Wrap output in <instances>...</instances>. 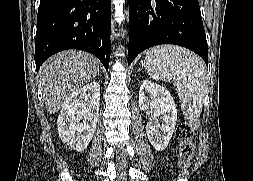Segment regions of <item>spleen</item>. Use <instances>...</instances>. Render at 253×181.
<instances>
[{
	"mask_svg": "<svg viewBox=\"0 0 253 181\" xmlns=\"http://www.w3.org/2000/svg\"><path fill=\"white\" fill-rule=\"evenodd\" d=\"M143 66L153 79L173 82L187 119L200 116L207 72L198 55L179 46L159 45L145 52Z\"/></svg>",
	"mask_w": 253,
	"mask_h": 181,
	"instance_id": "1",
	"label": "spleen"
}]
</instances>
